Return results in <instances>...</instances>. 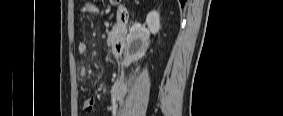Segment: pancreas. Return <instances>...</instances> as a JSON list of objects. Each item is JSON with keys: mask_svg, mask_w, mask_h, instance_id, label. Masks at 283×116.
Wrapping results in <instances>:
<instances>
[{"mask_svg": "<svg viewBox=\"0 0 283 116\" xmlns=\"http://www.w3.org/2000/svg\"><path fill=\"white\" fill-rule=\"evenodd\" d=\"M126 33V30H120L116 25L113 27V29L108 33L107 38V45L113 46L115 40L119 35H124Z\"/></svg>", "mask_w": 283, "mask_h": 116, "instance_id": "1", "label": "pancreas"}]
</instances>
